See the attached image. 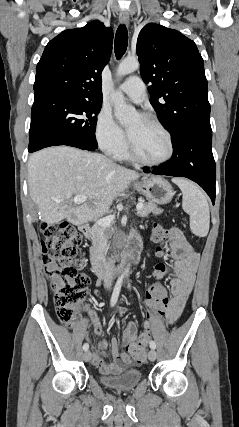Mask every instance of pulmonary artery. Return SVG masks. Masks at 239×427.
<instances>
[{
	"instance_id": "e3ab8cb5",
	"label": "pulmonary artery",
	"mask_w": 239,
	"mask_h": 427,
	"mask_svg": "<svg viewBox=\"0 0 239 427\" xmlns=\"http://www.w3.org/2000/svg\"><path fill=\"white\" fill-rule=\"evenodd\" d=\"M119 89L135 103H141L146 98L144 83L137 76L128 78L120 85Z\"/></svg>"
}]
</instances>
